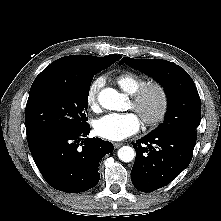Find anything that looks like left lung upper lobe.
Wrapping results in <instances>:
<instances>
[{
    "label": "left lung upper lobe",
    "mask_w": 221,
    "mask_h": 221,
    "mask_svg": "<svg viewBox=\"0 0 221 221\" xmlns=\"http://www.w3.org/2000/svg\"><path fill=\"white\" fill-rule=\"evenodd\" d=\"M134 69L154 77L165 88L168 110L164 122L154 134L176 133L196 138L201 119V100L189 74L175 63L162 59H133L124 57Z\"/></svg>",
    "instance_id": "obj_1"
}]
</instances>
